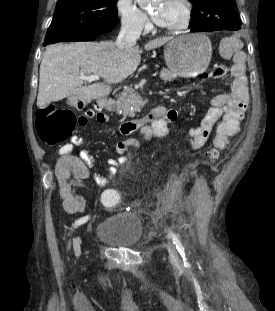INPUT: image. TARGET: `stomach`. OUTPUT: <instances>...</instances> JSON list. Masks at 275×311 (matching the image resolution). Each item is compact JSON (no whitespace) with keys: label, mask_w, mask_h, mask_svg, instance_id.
I'll list each match as a JSON object with an SVG mask.
<instances>
[{"label":"stomach","mask_w":275,"mask_h":311,"mask_svg":"<svg viewBox=\"0 0 275 311\" xmlns=\"http://www.w3.org/2000/svg\"><path fill=\"white\" fill-rule=\"evenodd\" d=\"M211 57V42L200 33L174 38L164 48V59L169 70L186 78L205 72Z\"/></svg>","instance_id":"0dacf381"}]
</instances>
